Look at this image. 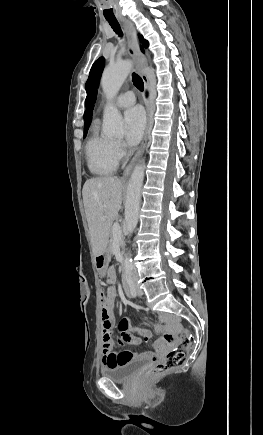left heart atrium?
I'll return each instance as SVG.
<instances>
[{
	"instance_id": "left-heart-atrium-1",
	"label": "left heart atrium",
	"mask_w": 263,
	"mask_h": 435,
	"mask_svg": "<svg viewBox=\"0 0 263 435\" xmlns=\"http://www.w3.org/2000/svg\"><path fill=\"white\" fill-rule=\"evenodd\" d=\"M125 139L133 146L142 138L145 128V115L140 107H132L125 112Z\"/></svg>"
}]
</instances>
